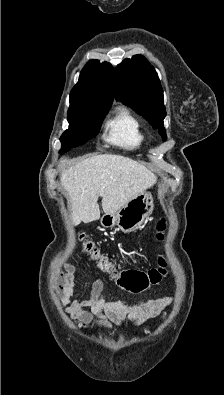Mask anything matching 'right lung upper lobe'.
I'll return each instance as SVG.
<instances>
[{
  "instance_id": "obj_1",
  "label": "right lung upper lobe",
  "mask_w": 224,
  "mask_h": 395,
  "mask_svg": "<svg viewBox=\"0 0 224 395\" xmlns=\"http://www.w3.org/2000/svg\"><path fill=\"white\" fill-rule=\"evenodd\" d=\"M113 78L114 69L110 63L91 60L82 69L79 81L70 95L110 107L113 101Z\"/></svg>"
}]
</instances>
